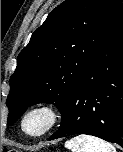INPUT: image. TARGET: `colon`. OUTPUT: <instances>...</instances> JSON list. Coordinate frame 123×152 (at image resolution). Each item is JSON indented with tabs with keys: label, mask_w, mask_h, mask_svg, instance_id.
<instances>
[{
	"label": "colon",
	"mask_w": 123,
	"mask_h": 152,
	"mask_svg": "<svg viewBox=\"0 0 123 152\" xmlns=\"http://www.w3.org/2000/svg\"><path fill=\"white\" fill-rule=\"evenodd\" d=\"M2 152H18V151L13 149H4Z\"/></svg>",
	"instance_id": "1"
}]
</instances>
